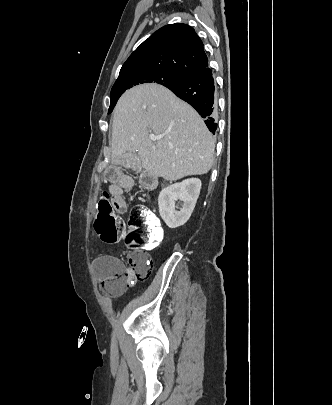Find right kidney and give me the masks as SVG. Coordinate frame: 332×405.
<instances>
[{
  "label": "right kidney",
  "mask_w": 332,
  "mask_h": 405,
  "mask_svg": "<svg viewBox=\"0 0 332 405\" xmlns=\"http://www.w3.org/2000/svg\"><path fill=\"white\" fill-rule=\"evenodd\" d=\"M201 185L200 179L190 178L161 190L158 197L159 213L169 228H177L189 220L199 197ZM177 200L183 202L179 211L175 209Z\"/></svg>",
  "instance_id": "ca27d5eb"
}]
</instances>
